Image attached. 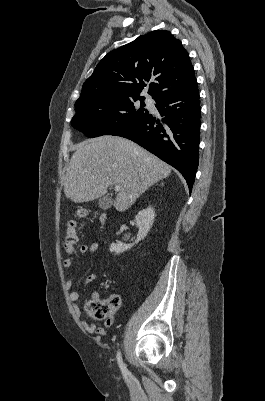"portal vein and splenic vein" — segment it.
<instances>
[{"label":"portal vein and splenic vein","instance_id":"18ae733b","mask_svg":"<svg viewBox=\"0 0 265 401\" xmlns=\"http://www.w3.org/2000/svg\"><path fill=\"white\" fill-rule=\"evenodd\" d=\"M121 186H117V184H115L114 186V190H120Z\"/></svg>","mask_w":265,"mask_h":401}]
</instances>
